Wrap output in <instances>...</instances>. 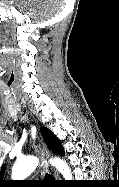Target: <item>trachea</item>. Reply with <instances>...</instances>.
Wrapping results in <instances>:
<instances>
[{
	"instance_id": "3493384b",
	"label": "trachea",
	"mask_w": 119,
	"mask_h": 187,
	"mask_svg": "<svg viewBox=\"0 0 119 187\" xmlns=\"http://www.w3.org/2000/svg\"><path fill=\"white\" fill-rule=\"evenodd\" d=\"M45 177L48 179H52V176H50L49 174H46Z\"/></svg>"
}]
</instances>
